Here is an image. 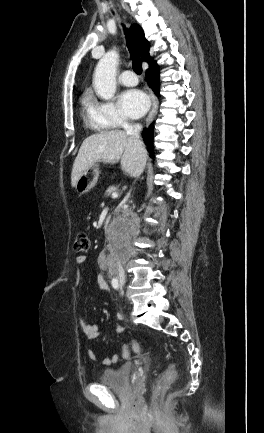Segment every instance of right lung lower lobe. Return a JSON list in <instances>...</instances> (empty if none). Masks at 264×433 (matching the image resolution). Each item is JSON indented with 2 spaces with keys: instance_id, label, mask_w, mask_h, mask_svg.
<instances>
[{
  "instance_id": "1",
  "label": "right lung lower lobe",
  "mask_w": 264,
  "mask_h": 433,
  "mask_svg": "<svg viewBox=\"0 0 264 433\" xmlns=\"http://www.w3.org/2000/svg\"><path fill=\"white\" fill-rule=\"evenodd\" d=\"M147 82L149 86L152 88V90L156 93L157 96H159V67L157 63L152 64L150 69L147 70ZM153 123L150 125L149 129H145L143 131V138L145 143L148 145V150L150 152H153Z\"/></svg>"
}]
</instances>
